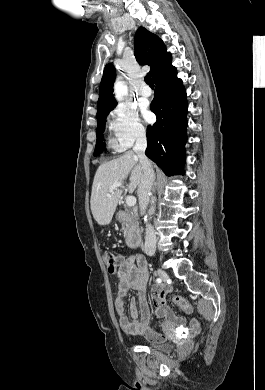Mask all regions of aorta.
<instances>
[{
    "instance_id": "1",
    "label": "aorta",
    "mask_w": 265,
    "mask_h": 390,
    "mask_svg": "<svg viewBox=\"0 0 265 390\" xmlns=\"http://www.w3.org/2000/svg\"><path fill=\"white\" fill-rule=\"evenodd\" d=\"M114 93H115V97L118 101H121L123 100V98L127 95L128 93V88L127 86L124 84V82L120 81L119 79L115 82V85H114ZM147 217L144 218V220L146 221Z\"/></svg>"
}]
</instances>
